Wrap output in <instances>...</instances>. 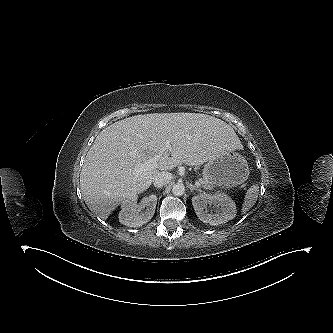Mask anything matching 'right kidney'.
I'll use <instances>...</instances> for the list:
<instances>
[{
    "mask_svg": "<svg viewBox=\"0 0 333 333\" xmlns=\"http://www.w3.org/2000/svg\"><path fill=\"white\" fill-rule=\"evenodd\" d=\"M137 196L125 199L121 205L119 221L128 227H140L150 221L155 213L157 196L150 195L142 198L137 204Z\"/></svg>",
    "mask_w": 333,
    "mask_h": 333,
    "instance_id": "ca27d5eb",
    "label": "right kidney"
}]
</instances>
